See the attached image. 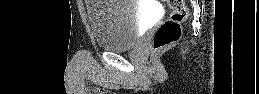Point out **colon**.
Wrapping results in <instances>:
<instances>
[{
	"mask_svg": "<svg viewBox=\"0 0 259 94\" xmlns=\"http://www.w3.org/2000/svg\"><path fill=\"white\" fill-rule=\"evenodd\" d=\"M167 3L171 10L170 16L154 33V51H160L177 42L182 34V24L188 17L184 0H167Z\"/></svg>",
	"mask_w": 259,
	"mask_h": 94,
	"instance_id": "5ec220e1",
	"label": "colon"
}]
</instances>
